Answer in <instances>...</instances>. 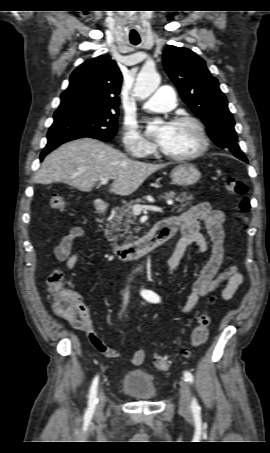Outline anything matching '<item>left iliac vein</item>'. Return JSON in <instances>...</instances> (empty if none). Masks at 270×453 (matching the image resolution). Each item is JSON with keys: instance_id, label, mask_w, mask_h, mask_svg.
<instances>
[{"instance_id": "4c4485c4", "label": "left iliac vein", "mask_w": 270, "mask_h": 453, "mask_svg": "<svg viewBox=\"0 0 270 453\" xmlns=\"http://www.w3.org/2000/svg\"><path fill=\"white\" fill-rule=\"evenodd\" d=\"M180 385V406L179 411L183 415H190L191 413V392L188 383L181 379Z\"/></svg>"}]
</instances>
